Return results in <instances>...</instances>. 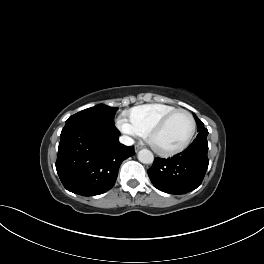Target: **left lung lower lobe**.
<instances>
[{
    "label": "left lung lower lobe",
    "mask_w": 264,
    "mask_h": 264,
    "mask_svg": "<svg viewBox=\"0 0 264 264\" xmlns=\"http://www.w3.org/2000/svg\"><path fill=\"white\" fill-rule=\"evenodd\" d=\"M207 139H195L172 158H155L148 175L153 185L169 194H185L200 186L208 168Z\"/></svg>",
    "instance_id": "obj_1"
}]
</instances>
